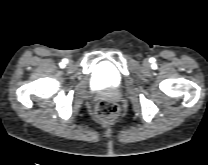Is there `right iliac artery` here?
<instances>
[{
  "label": "right iliac artery",
  "instance_id": "right-iliac-artery-1",
  "mask_svg": "<svg viewBox=\"0 0 208 165\" xmlns=\"http://www.w3.org/2000/svg\"><path fill=\"white\" fill-rule=\"evenodd\" d=\"M67 59H63V61L60 63V67H64L65 66V63H67Z\"/></svg>",
  "mask_w": 208,
  "mask_h": 165
}]
</instances>
